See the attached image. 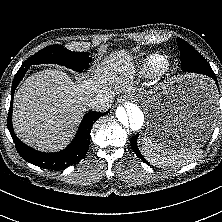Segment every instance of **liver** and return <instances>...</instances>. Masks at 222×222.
Masks as SVG:
<instances>
[{
    "label": "liver",
    "instance_id": "1",
    "mask_svg": "<svg viewBox=\"0 0 222 222\" xmlns=\"http://www.w3.org/2000/svg\"><path fill=\"white\" fill-rule=\"evenodd\" d=\"M134 77L132 58L124 51L111 54L92 78H78L77 82L61 70L39 71L14 95V131L35 149H62L74 136L87 100L98 94L113 98L117 89L131 92L135 90Z\"/></svg>",
    "mask_w": 222,
    "mask_h": 222
}]
</instances>
